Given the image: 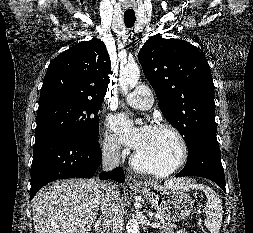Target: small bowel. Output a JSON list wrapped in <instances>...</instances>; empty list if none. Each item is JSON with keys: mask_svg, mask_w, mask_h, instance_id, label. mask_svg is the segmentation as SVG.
<instances>
[{"mask_svg": "<svg viewBox=\"0 0 253 233\" xmlns=\"http://www.w3.org/2000/svg\"><path fill=\"white\" fill-rule=\"evenodd\" d=\"M177 233H187V232H185V231H179V232H177Z\"/></svg>", "mask_w": 253, "mask_h": 233, "instance_id": "obj_1", "label": "small bowel"}]
</instances>
